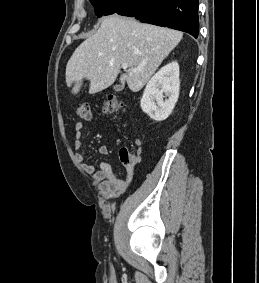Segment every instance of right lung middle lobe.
Listing matches in <instances>:
<instances>
[{"label":"right lung middle lobe","mask_w":259,"mask_h":283,"mask_svg":"<svg viewBox=\"0 0 259 283\" xmlns=\"http://www.w3.org/2000/svg\"><path fill=\"white\" fill-rule=\"evenodd\" d=\"M105 0H91V3L96 7L95 9V13L98 15V16H101V15H108L110 14L107 9H106V6L104 4Z\"/></svg>","instance_id":"1"}]
</instances>
